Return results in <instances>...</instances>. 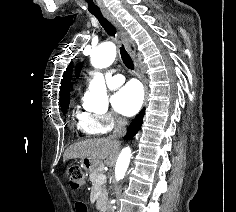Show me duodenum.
<instances>
[{"instance_id":"duodenum-1","label":"duodenum","mask_w":236,"mask_h":212,"mask_svg":"<svg viewBox=\"0 0 236 212\" xmlns=\"http://www.w3.org/2000/svg\"><path fill=\"white\" fill-rule=\"evenodd\" d=\"M101 212H108V209L104 208V209L101 210Z\"/></svg>"}]
</instances>
